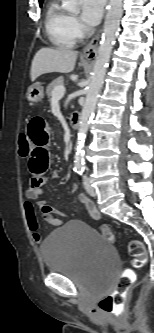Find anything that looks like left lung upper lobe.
<instances>
[{
  "label": "left lung upper lobe",
  "mask_w": 154,
  "mask_h": 333,
  "mask_svg": "<svg viewBox=\"0 0 154 333\" xmlns=\"http://www.w3.org/2000/svg\"><path fill=\"white\" fill-rule=\"evenodd\" d=\"M43 0H39L40 6L42 5Z\"/></svg>",
  "instance_id": "5c2ea615"
}]
</instances>
